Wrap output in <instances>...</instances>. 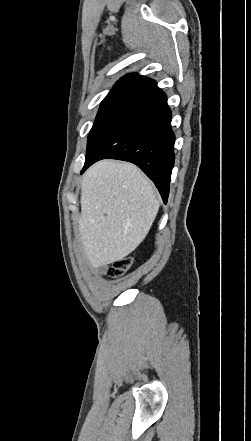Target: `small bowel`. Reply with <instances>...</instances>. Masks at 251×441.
Listing matches in <instances>:
<instances>
[{"instance_id": "1", "label": "small bowel", "mask_w": 251, "mask_h": 441, "mask_svg": "<svg viewBox=\"0 0 251 441\" xmlns=\"http://www.w3.org/2000/svg\"><path fill=\"white\" fill-rule=\"evenodd\" d=\"M106 268L105 265H100L97 267V274H100L104 271V269Z\"/></svg>"}]
</instances>
